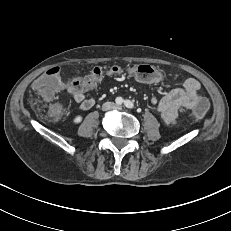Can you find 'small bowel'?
Masks as SVG:
<instances>
[{
	"label": "small bowel",
	"instance_id": "obj_1",
	"mask_svg": "<svg viewBox=\"0 0 231 231\" xmlns=\"http://www.w3.org/2000/svg\"><path fill=\"white\" fill-rule=\"evenodd\" d=\"M60 89L65 90L71 98L79 105L81 110H88L95 104V99L88 97L84 91L74 89L69 81L61 85ZM200 83L194 78L186 79L181 87L175 88L162 97H153L152 106L160 113L162 123L171 127L176 124L179 112L183 109L191 110L197 100Z\"/></svg>",
	"mask_w": 231,
	"mask_h": 231
}]
</instances>
